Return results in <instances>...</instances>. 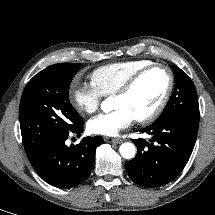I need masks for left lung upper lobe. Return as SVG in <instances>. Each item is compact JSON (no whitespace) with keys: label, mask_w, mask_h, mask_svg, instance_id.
Segmentation results:
<instances>
[{"label":"left lung upper lobe","mask_w":215,"mask_h":215,"mask_svg":"<svg viewBox=\"0 0 215 215\" xmlns=\"http://www.w3.org/2000/svg\"><path fill=\"white\" fill-rule=\"evenodd\" d=\"M175 74V88L164 111L154 122L182 119L199 124V104L192 80L180 68L171 66Z\"/></svg>","instance_id":"1"}]
</instances>
